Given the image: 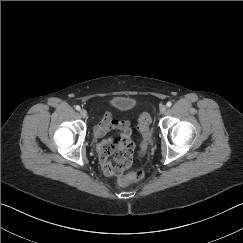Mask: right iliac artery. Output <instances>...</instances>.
Here are the masks:
<instances>
[{
    "mask_svg": "<svg viewBox=\"0 0 243 243\" xmlns=\"http://www.w3.org/2000/svg\"><path fill=\"white\" fill-rule=\"evenodd\" d=\"M75 108H76V110H78V111L81 109L79 105L75 106Z\"/></svg>",
    "mask_w": 243,
    "mask_h": 243,
    "instance_id": "obj_1",
    "label": "right iliac artery"
}]
</instances>
